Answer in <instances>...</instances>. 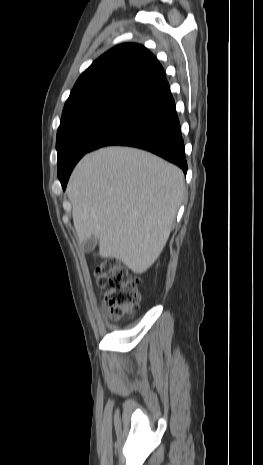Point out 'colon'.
Returning a JSON list of instances; mask_svg holds the SVG:
<instances>
[{
    "instance_id": "5ec220e1",
    "label": "colon",
    "mask_w": 263,
    "mask_h": 465,
    "mask_svg": "<svg viewBox=\"0 0 263 465\" xmlns=\"http://www.w3.org/2000/svg\"><path fill=\"white\" fill-rule=\"evenodd\" d=\"M95 275L113 320L136 310L140 300L138 282L131 278L120 262L104 260L96 267Z\"/></svg>"
}]
</instances>
